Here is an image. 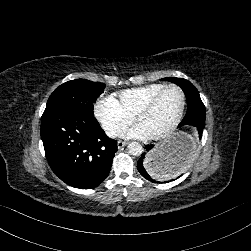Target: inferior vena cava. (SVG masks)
Returning <instances> with one entry per match:
<instances>
[{"mask_svg":"<svg viewBox=\"0 0 251 251\" xmlns=\"http://www.w3.org/2000/svg\"><path fill=\"white\" fill-rule=\"evenodd\" d=\"M107 132L112 136V137H116L120 134V131L116 128H109L107 130Z\"/></svg>","mask_w":251,"mask_h":251,"instance_id":"obj_1","label":"inferior vena cava"}]
</instances>
